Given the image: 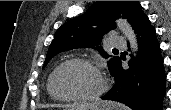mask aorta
Here are the masks:
<instances>
[{
	"label": "aorta",
	"mask_w": 171,
	"mask_h": 110,
	"mask_svg": "<svg viewBox=\"0 0 171 110\" xmlns=\"http://www.w3.org/2000/svg\"><path fill=\"white\" fill-rule=\"evenodd\" d=\"M116 23H117V27L119 28V30H121V32L126 36L128 41L130 42L131 50L136 56L137 50H138V43H137L136 34L132 26L125 19H119L116 21Z\"/></svg>",
	"instance_id": "aorta-1"
}]
</instances>
